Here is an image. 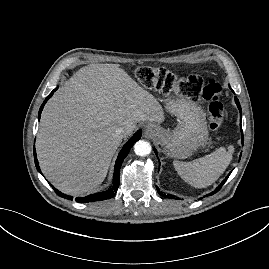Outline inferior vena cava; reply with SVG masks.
Returning <instances> with one entry per match:
<instances>
[{
    "label": "inferior vena cava",
    "mask_w": 269,
    "mask_h": 269,
    "mask_svg": "<svg viewBox=\"0 0 269 269\" xmlns=\"http://www.w3.org/2000/svg\"><path fill=\"white\" fill-rule=\"evenodd\" d=\"M125 134H126L125 127H118V128H116V130H115L116 137L122 139L125 136Z\"/></svg>",
    "instance_id": "inferior-vena-cava-1"
}]
</instances>
